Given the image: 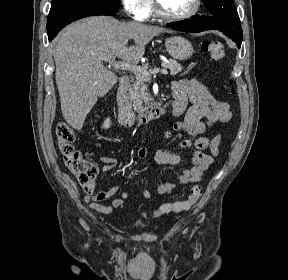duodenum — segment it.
<instances>
[{
	"instance_id": "410a0bca",
	"label": "duodenum",
	"mask_w": 288,
	"mask_h": 280,
	"mask_svg": "<svg viewBox=\"0 0 288 280\" xmlns=\"http://www.w3.org/2000/svg\"><path fill=\"white\" fill-rule=\"evenodd\" d=\"M117 100L119 106V120L124 127H132L135 124L147 125L168 112L175 114L180 107V104L174 101L170 104L162 102L154 105L149 110L136 115L131 107L130 81L126 76H123L120 79Z\"/></svg>"
}]
</instances>
